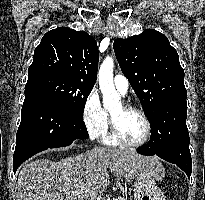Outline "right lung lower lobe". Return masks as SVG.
<instances>
[{
    "mask_svg": "<svg viewBox=\"0 0 205 200\" xmlns=\"http://www.w3.org/2000/svg\"><path fill=\"white\" fill-rule=\"evenodd\" d=\"M87 138L83 118L45 93L26 91L16 135L14 173L25 160L43 150L68 146Z\"/></svg>",
    "mask_w": 205,
    "mask_h": 200,
    "instance_id": "98d812e1",
    "label": "right lung lower lobe"
}]
</instances>
